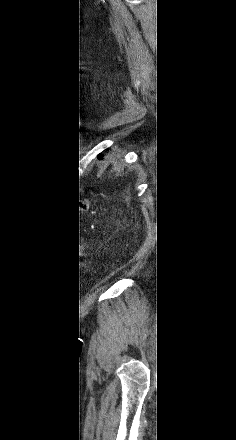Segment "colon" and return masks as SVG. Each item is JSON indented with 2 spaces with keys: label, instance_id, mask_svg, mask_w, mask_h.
Masks as SVG:
<instances>
[{
  "label": "colon",
  "instance_id": "5ec220e1",
  "mask_svg": "<svg viewBox=\"0 0 236 440\" xmlns=\"http://www.w3.org/2000/svg\"><path fill=\"white\" fill-rule=\"evenodd\" d=\"M80 209H81L82 214H84V215H87L90 212L89 206L86 203L81 204Z\"/></svg>",
  "mask_w": 236,
  "mask_h": 440
}]
</instances>
